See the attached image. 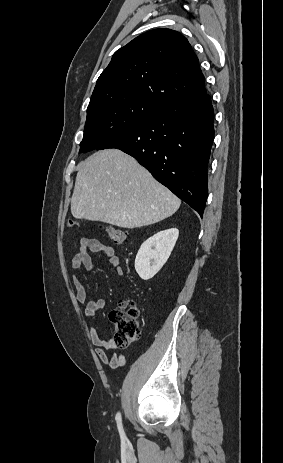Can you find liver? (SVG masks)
<instances>
[{"label":"liver","instance_id":"6515ba94","mask_svg":"<svg viewBox=\"0 0 283 463\" xmlns=\"http://www.w3.org/2000/svg\"><path fill=\"white\" fill-rule=\"evenodd\" d=\"M180 204L133 157L107 149L79 164L71 213L76 219L132 229L168 218Z\"/></svg>","mask_w":283,"mask_h":463}]
</instances>
